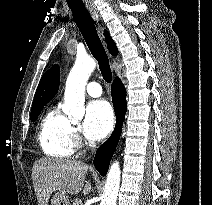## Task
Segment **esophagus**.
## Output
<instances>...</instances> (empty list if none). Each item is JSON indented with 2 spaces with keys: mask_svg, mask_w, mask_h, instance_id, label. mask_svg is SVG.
<instances>
[{
  "mask_svg": "<svg viewBox=\"0 0 212 205\" xmlns=\"http://www.w3.org/2000/svg\"><path fill=\"white\" fill-rule=\"evenodd\" d=\"M86 7H87V9L89 10V12H90L92 18H93V19L96 21V23L98 24L99 29L101 30L100 25H99V15H98V12H97L95 6H94L92 3H87V4H86Z\"/></svg>",
  "mask_w": 212,
  "mask_h": 205,
  "instance_id": "esophagus-1",
  "label": "esophagus"
}]
</instances>
